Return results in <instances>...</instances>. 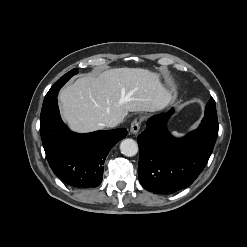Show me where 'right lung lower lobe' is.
Listing matches in <instances>:
<instances>
[{"mask_svg":"<svg viewBox=\"0 0 247 247\" xmlns=\"http://www.w3.org/2000/svg\"><path fill=\"white\" fill-rule=\"evenodd\" d=\"M40 133L46 158L55 175L71 186L88 188L100 185L106 156L126 137L127 130L71 132L61 120L56 97L42 106Z\"/></svg>","mask_w":247,"mask_h":247,"instance_id":"obj_1","label":"right lung lower lobe"}]
</instances>
